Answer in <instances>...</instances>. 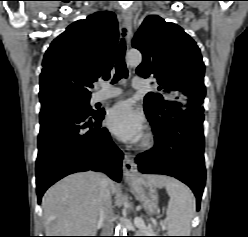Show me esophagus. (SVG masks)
Instances as JSON below:
<instances>
[{"label":"esophagus","mask_w":248,"mask_h":237,"mask_svg":"<svg viewBox=\"0 0 248 237\" xmlns=\"http://www.w3.org/2000/svg\"><path fill=\"white\" fill-rule=\"evenodd\" d=\"M132 12L130 10L122 11V19L127 29L126 41L130 40V35L132 33ZM123 177L126 181L135 179L137 172L135 169L134 161L130 153H125L123 158Z\"/></svg>","instance_id":"obj_1"}]
</instances>
